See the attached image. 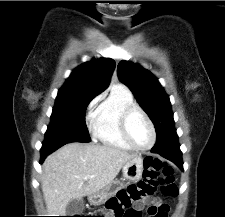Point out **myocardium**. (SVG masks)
Wrapping results in <instances>:
<instances>
[{
  "instance_id": "obj_1",
  "label": "myocardium",
  "mask_w": 225,
  "mask_h": 217,
  "mask_svg": "<svg viewBox=\"0 0 225 217\" xmlns=\"http://www.w3.org/2000/svg\"><path fill=\"white\" fill-rule=\"evenodd\" d=\"M135 113H139L141 114L144 119L147 121L150 130H151V134H152V141L150 143V145L146 146V147H140L138 145H136L134 143V141L132 140L131 134H130V130H129V123H130V119L131 117L135 114ZM120 130H121V134L123 139L125 140V142L134 150L137 151H148L150 150L156 142V130H155V126L151 120V118L149 117V115L138 105L134 104V105H130L128 107H126L123 112L121 113L120 116Z\"/></svg>"
}]
</instances>
